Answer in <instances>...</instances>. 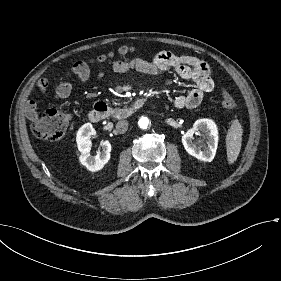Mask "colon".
I'll return each instance as SVG.
<instances>
[{"instance_id":"1","label":"colon","mask_w":281,"mask_h":281,"mask_svg":"<svg viewBox=\"0 0 281 281\" xmlns=\"http://www.w3.org/2000/svg\"><path fill=\"white\" fill-rule=\"evenodd\" d=\"M133 51V48H121L118 54L99 56L93 63L100 67H109L127 61ZM79 69L80 66H78ZM221 105L224 108H233L236 103L232 96L222 91ZM66 124L67 118L62 112V108L59 105H53L32 122V131L36 138L42 141H57L63 136Z\"/></svg>"}]
</instances>
